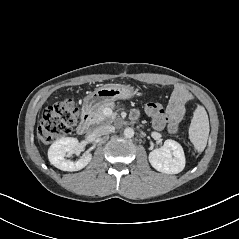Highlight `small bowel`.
<instances>
[{
    "label": "small bowel",
    "instance_id": "small-bowel-1",
    "mask_svg": "<svg viewBox=\"0 0 239 239\" xmlns=\"http://www.w3.org/2000/svg\"><path fill=\"white\" fill-rule=\"evenodd\" d=\"M189 100V94L182 88H178L171 97L166 109L167 127L170 132H176L185 113V104ZM138 116L137 111H133L132 117Z\"/></svg>",
    "mask_w": 239,
    "mask_h": 239
}]
</instances>
